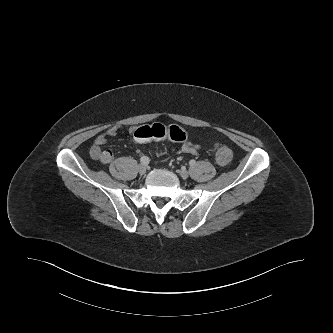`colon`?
Instances as JSON below:
<instances>
[{"label": "colon", "mask_w": 333, "mask_h": 333, "mask_svg": "<svg viewBox=\"0 0 333 333\" xmlns=\"http://www.w3.org/2000/svg\"><path fill=\"white\" fill-rule=\"evenodd\" d=\"M134 137L138 141L160 140L169 138L173 141L181 142L186 139V133L179 126H165L160 123L145 125L137 128ZM215 158L219 164H227L232 158V151L229 147L221 144L215 145Z\"/></svg>", "instance_id": "obj_1"}]
</instances>
